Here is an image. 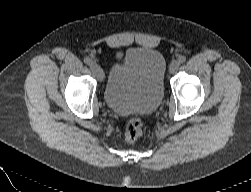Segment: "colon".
<instances>
[{
  "mask_svg": "<svg viewBox=\"0 0 251 192\" xmlns=\"http://www.w3.org/2000/svg\"><path fill=\"white\" fill-rule=\"evenodd\" d=\"M142 133L143 126L141 119L139 117L131 118L125 126V140L128 142H134L142 136Z\"/></svg>",
  "mask_w": 251,
  "mask_h": 192,
  "instance_id": "5ec220e1",
  "label": "colon"
}]
</instances>
